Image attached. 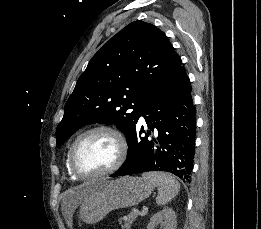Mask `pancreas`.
<instances>
[{"mask_svg":"<svg viewBox=\"0 0 261 229\" xmlns=\"http://www.w3.org/2000/svg\"><path fill=\"white\" fill-rule=\"evenodd\" d=\"M136 217H137V213H129L128 219H126V221H125V219H124V221H123V219H119V223H120L122 229H130V227H131L132 223H134Z\"/></svg>","mask_w":261,"mask_h":229,"instance_id":"obj_1","label":"pancreas"}]
</instances>
